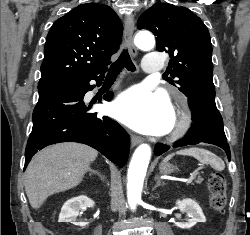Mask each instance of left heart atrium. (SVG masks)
<instances>
[{"instance_id": "left-heart-atrium-1", "label": "left heart atrium", "mask_w": 250, "mask_h": 235, "mask_svg": "<svg viewBox=\"0 0 250 235\" xmlns=\"http://www.w3.org/2000/svg\"><path fill=\"white\" fill-rule=\"evenodd\" d=\"M113 114L134 130L149 135L168 132L174 122V111L168 97L143 86L122 93L114 103Z\"/></svg>"}]
</instances>
